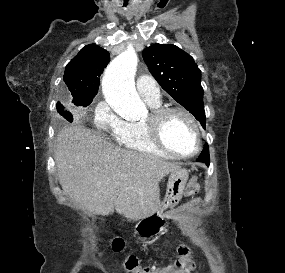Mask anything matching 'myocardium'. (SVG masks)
I'll list each match as a JSON object with an SVG mask.
<instances>
[{
	"label": "myocardium",
	"instance_id": "obj_1",
	"mask_svg": "<svg viewBox=\"0 0 285 273\" xmlns=\"http://www.w3.org/2000/svg\"><path fill=\"white\" fill-rule=\"evenodd\" d=\"M173 113H179L185 116L194 126L195 134H196V146L192 153L190 154H179L172 151L167 145L164 143L161 136V128L165 118ZM146 132L152 142L163 152L168 155L180 158V159H189L195 157L201 150L202 147V127L196 117L186 110L185 108L178 106H167V107H157L154 108L148 119L143 123Z\"/></svg>",
	"mask_w": 285,
	"mask_h": 273
}]
</instances>
